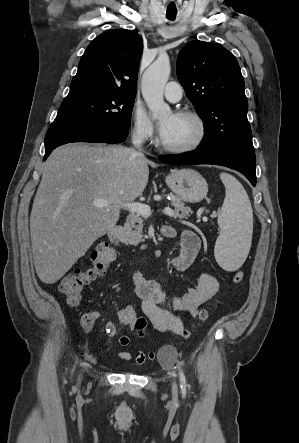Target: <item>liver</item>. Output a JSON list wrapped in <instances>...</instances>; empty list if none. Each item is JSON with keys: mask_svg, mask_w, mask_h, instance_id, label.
I'll list each match as a JSON object with an SVG mask.
<instances>
[{"mask_svg": "<svg viewBox=\"0 0 299 443\" xmlns=\"http://www.w3.org/2000/svg\"><path fill=\"white\" fill-rule=\"evenodd\" d=\"M148 165L156 166L123 146L75 143L51 153L30 215L34 265L43 283L60 280L115 227L122 204L133 202L146 188ZM100 198L109 206H94Z\"/></svg>", "mask_w": 299, "mask_h": 443, "instance_id": "6515ba94", "label": "liver"}]
</instances>
